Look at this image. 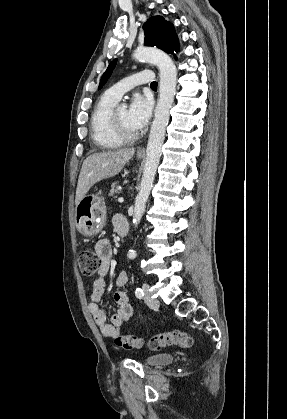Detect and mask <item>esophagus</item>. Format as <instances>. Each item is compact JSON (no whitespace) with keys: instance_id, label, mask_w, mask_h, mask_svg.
Wrapping results in <instances>:
<instances>
[{"instance_id":"esophagus-1","label":"esophagus","mask_w":287,"mask_h":419,"mask_svg":"<svg viewBox=\"0 0 287 419\" xmlns=\"http://www.w3.org/2000/svg\"><path fill=\"white\" fill-rule=\"evenodd\" d=\"M137 153L138 154H145V148L144 147L139 148L138 151H137Z\"/></svg>"}]
</instances>
